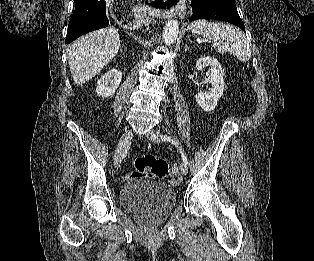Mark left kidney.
<instances>
[{
	"instance_id": "5707ae66",
	"label": "left kidney",
	"mask_w": 314,
	"mask_h": 261,
	"mask_svg": "<svg viewBox=\"0 0 314 261\" xmlns=\"http://www.w3.org/2000/svg\"><path fill=\"white\" fill-rule=\"evenodd\" d=\"M207 66L210 67V74L204 82L210 83L212 87L208 92L198 89L196 102L204 111L211 112L214 111L219 98L223 95L224 79L222 67L216 58L206 56L199 58L196 62L198 71Z\"/></svg>"
}]
</instances>
